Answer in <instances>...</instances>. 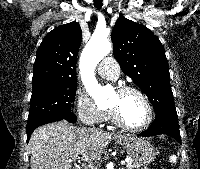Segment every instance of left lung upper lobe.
Instances as JSON below:
<instances>
[{
  "instance_id": "5c2ea615",
  "label": "left lung upper lobe",
  "mask_w": 200,
  "mask_h": 169,
  "mask_svg": "<svg viewBox=\"0 0 200 169\" xmlns=\"http://www.w3.org/2000/svg\"><path fill=\"white\" fill-rule=\"evenodd\" d=\"M122 71L148 96L155 113L176 111L163 45L147 27L120 17L111 35Z\"/></svg>"
}]
</instances>
